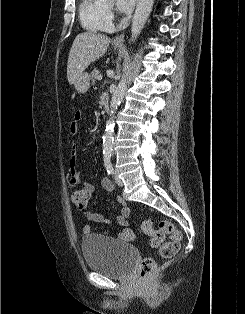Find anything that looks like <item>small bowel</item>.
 <instances>
[{"instance_id": "small-bowel-1", "label": "small bowel", "mask_w": 245, "mask_h": 314, "mask_svg": "<svg viewBox=\"0 0 245 314\" xmlns=\"http://www.w3.org/2000/svg\"><path fill=\"white\" fill-rule=\"evenodd\" d=\"M81 119V113L76 112L74 118L70 124V131L75 134L78 131V123ZM78 161V151L73 148L70 154V163H69V174H70V183L74 186H81L82 190H85L89 193V195L93 194L96 191V186L92 183L83 182L80 177V172L77 168ZM101 187L108 192L114 190V183L107 177L101 179L100 182ZM117 201L122 205V209L120 214L115 218L106 217L101 213H93L86 212L87 219L92 223H104V224H112L116 223L119 226V230L117 232V239L122 242H133L135 240V235L132 230L126 227L127 225V217L129 215V207L126 205L125 200L122 197H118ZM94 231V227L91 224H87L83 228L84 234H91ZM104 234H108L104 232Z\"/></svg>"}]
</instances>
